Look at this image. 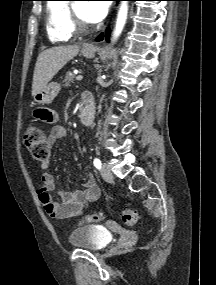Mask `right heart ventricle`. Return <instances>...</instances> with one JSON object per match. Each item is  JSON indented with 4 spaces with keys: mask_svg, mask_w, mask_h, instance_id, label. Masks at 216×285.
<instances>
[{
    "mask_svg": "<svg viewBox=\"0 0 216 285\" xmlns=\"http://www.w3.org/2000/svg\"><path fill=\"white\" fill-rule=\"evenodd\" d=\"M46 32L53 44L70 41L73 32L69 23V4L63 0H51L46 4Z\"/></svg>",
    "mask_w": 216,
    "mask_h": 285,
    "instance_id": "right-heart-ventricle-1",
    "label": "right heart ventricle"
}]
</instances>
